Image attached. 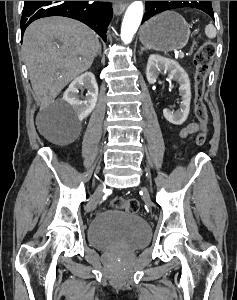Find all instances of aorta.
Wrapping results in <instances>:
<instances>
[{
	"instance_id": "762f6f07",
	"label": "aorta",
	"mask_w": 237,
	"mask_h": 300,
	"mask_svg": "<svg viewBox=\"0 0 237 300\" xmlns=\"http://www.w3.org/2000/svg\"><path fill=\"white\" fill-rule=\"evenodd\" d=\"M143 3L142 1H134L128 7L121 25V39L124 45L131 43L143 17Z\"/></svg>"
}]
</instances>
